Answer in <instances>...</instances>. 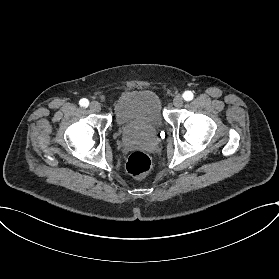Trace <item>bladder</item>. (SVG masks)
Wrapping results in <instances>:
<instances>
[{"label": "bladder", "instance_id": "bladder-1", "mask_svg": "<svg viewBox=\"0 0 279 279\" xmlns=\"http://www.w3.org/2000/svg\"><path fill=\"white\" fill-rule=\"evenodd\" d=\"M113 118L122 136L161 130L164 117L155 92L139 90L121 96L113 105Z\"/></svg>", "mask_w": 279, "mask_h": 279}]
</instances>
